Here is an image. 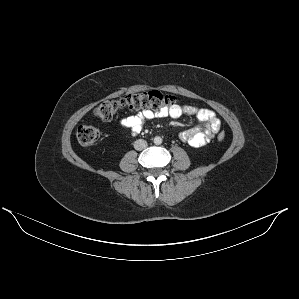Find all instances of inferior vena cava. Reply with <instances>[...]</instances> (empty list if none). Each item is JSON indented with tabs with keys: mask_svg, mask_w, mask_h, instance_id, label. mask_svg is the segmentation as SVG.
Returning <instances> with one entry per match:
<instances>
[{
	"mask_svg": "<svg viewBox=\"0 0 299 299\" xmlns=\"http://www.w3.org/2000/svg\"><path fill=\"white\" fill-rule=\"evenodd\" d=\"M148 146L147 142L143 139H138L134 142V148L138 151L146 149Z\"/></svg>",
	"mask_w": 299,
	"mask_h": 299,
	"instance_id": "obj_1",
	"label": "inferior vena cava"
}]
</instances>
